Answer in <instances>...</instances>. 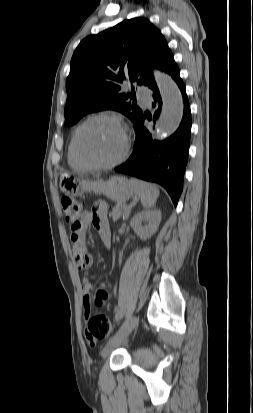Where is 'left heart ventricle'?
<instances>
[{
  "mask_svg": "<svg viewBox=\"0 0 253 413\" xmlns=\"http://www.w3.org/2000/svg\"><path fill=\"white\" fill-rule=\"evenodd\" d=\"M80 146L89 160L98 163L110 162L118 158L123 151V133L116 123L98 120L83 130Z\"/></svg>",
  "mask_w": 253,
  "mask_h": 413,
  "instance_id": "obj_1",
  "label": "left heart ventricle"
}]
</instances>
